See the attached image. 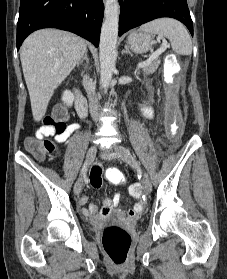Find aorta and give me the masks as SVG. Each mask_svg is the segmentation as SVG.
Segmentation results:
<instances>
[{
  "mask_svg": "<svg viewBox=\"0 0 227 279\" xmlns=\"http://www.w3.org/2000/svg\"><path fill=\"white\" fill-rule=\"evenodd\" d=\"M119 12L118 0H106L99 46L100 79L103 88L109 86L115 70Z\"/></svg>",
  "mask_w": 227,
  "mask_h": 279,
  "instance_id": "obj_1",
  "label": "aorta"
}]
</instances>
